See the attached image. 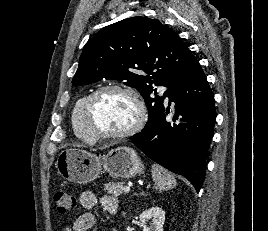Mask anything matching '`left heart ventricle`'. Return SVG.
<instances>
[{
    "label": "left heart ventricle",
    "mask_w": 268,
    "mask_h": 231,
    "mask_svg": "<svg viewBox=\"0 0 268 231\" xmlns=\"http://www.w3.org/2000/svg\"><path fill=\"white\" fill-rule=\"evenodd\" d=\"M137 110L133 101L117 92H106L94 101L91 123L97 131H121L136 119Z\"/></svg>",
    "instance_id": "obj_1"
}]
</instances>
